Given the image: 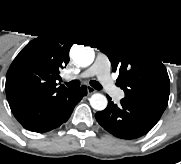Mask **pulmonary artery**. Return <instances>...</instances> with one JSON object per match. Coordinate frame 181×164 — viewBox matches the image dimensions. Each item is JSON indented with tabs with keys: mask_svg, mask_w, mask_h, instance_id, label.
<instances>
[{
	"mask_svg": "<svg viewBox=\"0 0 181 164\" xmlns=\"http://www.w3.org/2000/svg\"><path fill=\"white\" fill-rule=\"evenodd\" d=\"M91 76H97L98 81L108 94L115 95L119 99L123 98V93L114 86L108 67L105 64L97 61L79 77L88 78Z\"/></svg>",
	"mask_w": 181,
	"mask_h": 164,
	"instance_id": "pulmonary-artery-1",
	"label": "pulmonary artery"
}]
</instances>
